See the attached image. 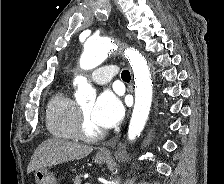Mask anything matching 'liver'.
<instances>
[{"label":"liver","mask_w":224,"mask_h":184,"mask_svg":"<svg viewBox=\"0 0 224 184\" xmlns=\"http://www.w3.org/2000/svg\"><path fill=\"white\" fill-rule=\"evenodd\" d=\"M93 148L77 142L51 138L42 142L34 151L27 173L43 167H51L66 161L82 159L88 156Z\"/></svg>","instance_id":"liver-1"}]
</instances>
